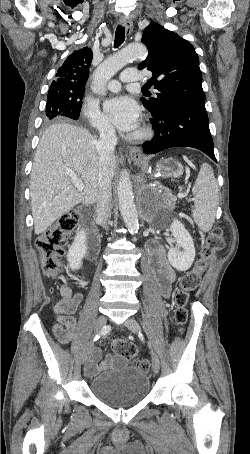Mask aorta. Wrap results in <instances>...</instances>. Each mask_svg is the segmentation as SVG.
<instances>
[{"label": "aorta", "mask_w": 250, "mask_h": 454, "mask_svg": "<svg viewBox=\"0 0 250 454\" xmlns=\"http://www.w3.org/2000/svg\"><path fill=\"white\" fill-rule=\"evenodd\" d=\"M147 55V49L142 43H130L118 52L111 55L101 63L93 73L92 91L95 94L105 92L106 83L122 69L130 60L143 58ZM117 196L121 216L130 233H136L139 229L138 212L134 203V194L129 173L123 170L120 173L117 185Z\"/></svg>", "instance_id": "obj_1"}]
</instances>
